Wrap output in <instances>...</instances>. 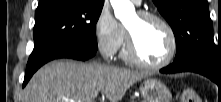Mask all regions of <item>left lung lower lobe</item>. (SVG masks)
Returning <instances> with one entry per match:
<instances>
[{
  "instance_id": "0a47b994",
  "label": "left lung lower lobe",
  "mask_w": 221,
  "mask_h": 102,
  "mask_svg": "<svg viewBox=\"0 0 221 102\" xmlns=\"http://www.w3.org/2000/svg\"><path fill=\"white\" fill-rule=\"evenodd\" d=\"M187 71L202 74L218 85H221V70H218L210 62L198 57H189L174 61L173 64L160 70V72L166 74Z\"/></svg>"
}]
</instances>
